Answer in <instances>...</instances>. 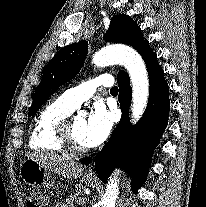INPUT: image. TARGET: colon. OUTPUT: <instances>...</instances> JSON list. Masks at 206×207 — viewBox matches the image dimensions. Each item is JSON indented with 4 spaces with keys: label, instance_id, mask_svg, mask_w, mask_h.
Instances as JSON below:
<instances>
[{
    "label": "colon",
    "instance_id": "5ec220e1",
    "mask_svg": "<svg viewBox=\"0 0 206 207\" xmlns=\"http://www.w3.org/2000/svg\"><path fill=\"white\" fill-rule=\"evenodd\" d=\"M46 199L40 191L31 190L27 194V206L28 207H43Z\"/></svg>",
    "mask_w": 206,
    "mask_h": 207
}]
</instances>
